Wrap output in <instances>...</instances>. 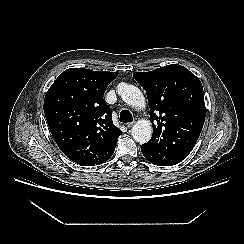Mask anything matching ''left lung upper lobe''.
<instances>
[{"mask_svg":"<svg viewBox=\"0 0 244 244\" xmlns=\"http://www.w3.org/2000/svg\"><path fill=\"white\" fill-rule=\"evenodd\" d=\"M146 91L153 134L142 147L158 166L182 161L201 133L206 109L200 80L187 68L171 64L150 72H135Z\"/></svg>","mask_w":244,"mask_h":244,"instance_id":"obj_1","label":"left lung upper lobe"}]
</instances>
